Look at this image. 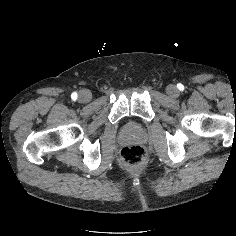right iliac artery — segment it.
Returning a JSON list of instances; mask_svg holds the SVG:
<instances>
[{
	"instance_id": "82829eb1",
	"label": "right iliac artery",
	"mask_w": 236,
	"mask_h": 236,
	"mask_svg": "<svg viewBox=\"0 0 236 236\" xmlns=\"http://www.w3.org/2000/svg\"><path fill=\"white\" fill-rule=\"evenodd\" d=\"M77 93L76 92H73L72 94H71V98L73 99V100H75V99H77Z\"/></svg>"
}]
</instances>
